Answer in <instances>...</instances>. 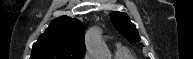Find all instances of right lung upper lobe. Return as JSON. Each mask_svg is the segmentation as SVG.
Wrapping results in <instances>:
<instances>
[{"label":"right lung upper lobe","instance_id":"obj_1","mask_svg":"<svg viewBox=\"0 0 193 59\" xmlns=\"http://www.w3.org/2000/svg\"><path fill=\"white\" fill-rule=\"evenodd\" d=\"M84 33V25L77 19H54L34 43L30 59H84Z\"/></svg>","mask_w":193,"mask_h":59}]
</instances>
